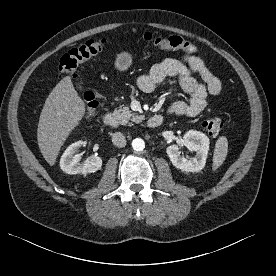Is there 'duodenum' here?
<instances>
[{"instance_id": "obj_1", "label": "duodenum", "mask_w": 276, "mask_h": 276, "mask_svg": "<svg viewBox=\"0 0 276 276\" xmlns=\"http://www.w3.org/2000/svg\"><path fill=\"white\" fill-rule=\"evenodd\" d=\"M103 122L105 125L111 128H116L119 124L118 118L111 112H107L104 114ZM162 122H163L162 115H153L148 118L147 125L149 128H157L162 124Z\"/></svg>"}]
</instances>
